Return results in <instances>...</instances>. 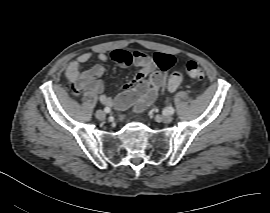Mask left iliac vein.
Returning a JSON list of instances; mask_svg holds the SVG:
<instances>
[{
	"instance_id": "left-iliac-vein-1",
	"label": "left iliac vein",
	"mask_w": 270,
	"mask_h": 213,
	"mask_svg": "<svg viewBox=\"0 0 270 213\" xmlns=\"http://www.w3.org/2000/svg\"><path fill=\"white\" fill-rule=\"evenodd\" d=\"M173 120V117L170 115V114H165L163 117H162V121L166 124L172 122Z\"/></svg>"
}]
</instances>
